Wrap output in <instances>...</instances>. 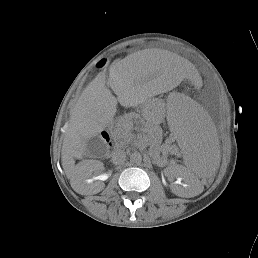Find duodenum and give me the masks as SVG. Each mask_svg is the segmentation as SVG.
<instances>
[{"label":"duodenum","mask_w":258,"mask_h":258,"mask_svg":"<svg viewBox=\"0 0 258 258\" xmlns=\"http://www.w3.org/2000/svg\"><path fill=\"white\" fill-rule=\"evenodd\" d=\"M107 141H109V139H108V135H107Z\"/></svg>","instance_id":"1"}]
</instances>
